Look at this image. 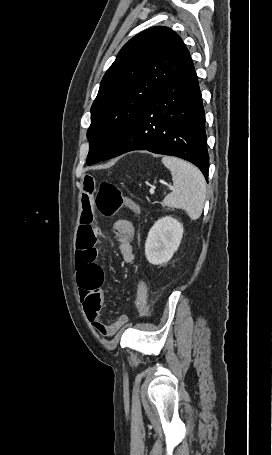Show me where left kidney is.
<instances>
[{
    "instance_id": "left-kidney-1",
    "label": "left kidney",
    "mask_w": 272,
    "mask_h": 455,
    "mask_svg": "<svg viewBox=\"0 0 272 455\" xmlns=\"http://www.w3.org/2000/svg\"><path fill=\"white\" fill-rule=\"evenodd\" d=\"M183 232V225L171 216L156 221L145 242V255L149 263H167L177 251Z\"/></svg>"
}]
</instances>
